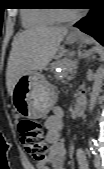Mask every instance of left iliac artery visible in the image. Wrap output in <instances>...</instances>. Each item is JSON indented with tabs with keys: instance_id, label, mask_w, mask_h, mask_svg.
<instances>
[{
	"instance_id": "44dca946",
	"label": "left iliac artery",
	"mask_w": 104,
	"mask_h": 169,
	"mask_svg": "<svg viewBox=\"0 0 104 169\" xmlns=\"http://www.w3.org/2000/svg\"><path fill=\"white\" fill-rule=\"evenodd\" d=\"M89 148L92 154L96 155L97 154V149H98V144L95 139H90L89 140Z\"/></svg>"
}]
</instances>
